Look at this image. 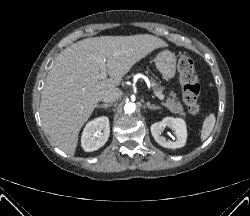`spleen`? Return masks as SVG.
Here are the masks:
<instances>
[{
	"mask_svg": "<svg viewBox=\"0 0 250 216\" xmlns=\"http://www.w3.org/2000/svg\"><path fill=\"white\" fill-rule=\"evenodd\" d=\"M215 122L216 118L214 113H210L205 117L201 128V142L205 141L210 136L215 126Z\"/></svg>",
	"mask_w": 250,
	"mask_h": 216,
	"instance_id": "1",
	"label": "spleen"
}]
</instances>
